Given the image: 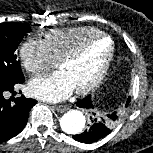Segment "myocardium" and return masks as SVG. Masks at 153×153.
<instances>
[{"label": "myocardium", "mask_w": 153, "mask_h": 153, "mask_svg": "<svg viewBox=\"0 0 153 153\" xmlns=\"http://www.w3.org/2000/svg\"><path fill=\"white\" fill-rule=\"evenodd\" d=\"M102 39L109 40V42H110L109 53H108L104 63L102 64L100 70L95 75V77L85 86L75 89V92L77 94H86V93L90 92L96 86H98L100 84V82L103 80V78L107 74V72L110 68V65L112 63V60L114 58V55H115V42H114L113 38L107 34H104V33H100L98 35L90 37V38L86 39L84 42H82L76 49H74L71 53H69L68 55L63 57L58 62V66H59V68H61L65 64L76 61L78 58H80L83 55V53L87 50V48L91 44H93L94 42H96L98 40H102Z\"/></svg>", "instance_id": "myocardium-1"}]
</instances>
